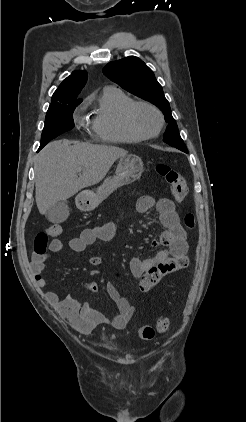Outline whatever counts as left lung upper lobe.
<instances>
[{
  "mask_svg": "<svg viewBox=\"0 0 246 422\" xmlns=\"http://www.w3.org/2000/svg\"><path fill=\"white\" fill-rule=\"evenodd\" d=\"M103 73L123 89L159 107L168 122L163 141L183 152H188L161 85L157 82L152 70L141 59L128 56L110 62L104 67Z\"/></svg>",
  "mask_w": 246,
  "mask_h": 422,
  "instance_id": "left-lung-upper-lobe-1",
  "label": "left lung upper lobe"
}]
</instances>
